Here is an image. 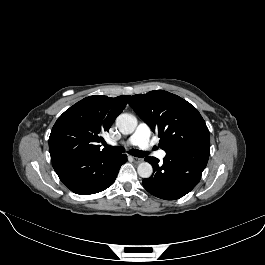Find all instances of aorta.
<instances>
[{
	"instance_id": "1",
	"label": "aorta",
	"mask_w": 265,
	"mask_h": 265,
	"mask_svg": "<svg viewBox=\"0 0 265 265\" xmlns=\"http://www.w3.org/2000/svg\"><path fill=\"white\" fill-rule=\"evenodd\" d=\"M116 126L122 134L128 135L135 131L137 120L131 114H120L116 119ZM137 172L140 177L149 178L153 173L152 165L148 162H142L138 165Z\"/></svg>"
}]
</instances>
